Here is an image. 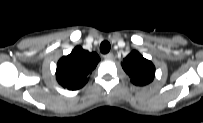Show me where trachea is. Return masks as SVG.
Returning <instances> with one entry per match:
<instances>
[{
  "label": "trachea",
  "instance_id": "obj_1",
  "mask_svg": "<svg viewBox=\"0 0 203 123\" xmlns=\"http://www.w3.org/2000/svg\"><path fill=\"white\" fill-rule=\"evenodd\" d=\"M110 48H111V46H110V43L108 41H103L100 45V51L103 54L108 53L110 51Z\"/></svg>",
  "mask_w": 203,
  "mask_h": 123
}]
</instances>
